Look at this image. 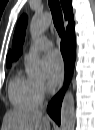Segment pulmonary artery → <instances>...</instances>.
<instances>
[{"label":"pulmonary artery","mask_w":95,"mask_h":130,"mask_svg":"<svg viewBox=\"0 0 95 130\" xmlns=\"http://www.w3.org/2000/svg\"><path fill=\"white\" fill-rule=\"evenodd\" d=\"M52 46V41L48 37L42 36L35 41V43L33 44V49L36 51H43L49 50L50 48H52Z\"/></svg>","instance_id":"1"}]
</instances>
